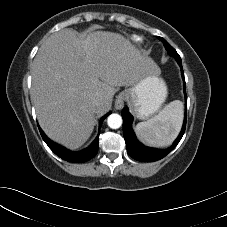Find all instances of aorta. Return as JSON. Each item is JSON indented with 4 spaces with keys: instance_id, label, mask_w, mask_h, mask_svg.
<instances>
[{
    "instance_id": "1",
    "label": "aorta",
    "mask_w": 227,
    "mask_h": 227,
    "mask_svg": "<svg viewBox=\"0 0 227 227\" xmlns=\"http://www.w3.org/2000/svg\"><path fill=\"white\" fill-rule=\"evenodd\" d=\"M108 126L112 129H118L122 125V117L119 114H111L107 119Z\"/></svg>"
}]
</instances>
